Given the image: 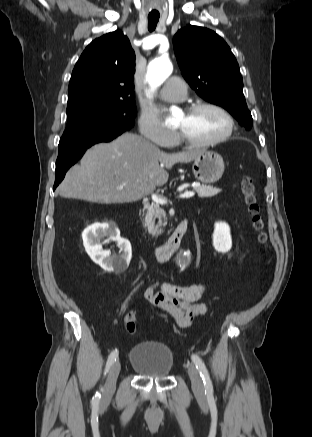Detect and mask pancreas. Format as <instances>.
<instances>
[{
    "label": "pancreas",
    "instance_id": "obj_1",
    "mask_svg": "<svg viewBox=\"0 0 312 437\" xmlns=\"http://www.w3.org/2000/svg\"><path fill=\"white\" fill-rule=\"evenodd\" d=\"M198 196L201 198L212 197L220 193V188H215L212 186L201 185L195 187ZM158 220V222H156ZM166 213L160 207L159 204H151L147 209V214L145 217V227H147L148 232L153 236H158L161 234V227L166 225Z\"/></svg>",
    "mask_w": 312,
    "mask_h": 437
}]
</instances>
